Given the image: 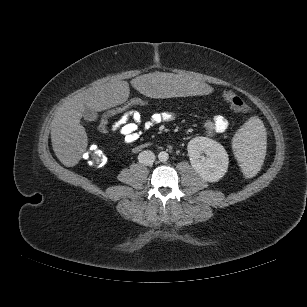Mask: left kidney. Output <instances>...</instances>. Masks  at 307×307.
<instances>
[{"label": "left kidney", "instance_id": "obj_1", "mask_svg": "<svg viewBox=\"0 0 307 307\" xmlns=\"http://www.w3.org/2000/svg\"><path fill=\"white\" fill-rule=\"evenodd\" d=\"M187 150L192 167L205 180L216 182L227 172L229 158L220 143L198 136L190 140Z\"/></svg>", "mask_w": 307, "mask_h": 307}]
</instances>
